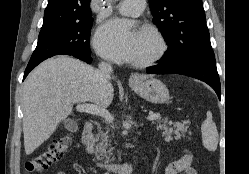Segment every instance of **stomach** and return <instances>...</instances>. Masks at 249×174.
I'll return each instance as SVG.
<instances>
[{
	"instance_id": "1",
	"label": "stomach",
	"mask_w": 249,
	"mask_h": 174,
	"mask_svg": "<svg viewBox=\"0 0 249 174\" xmlns=\"http://www.w3.org/2000/svg\"><path fill=\"white\" fill-rule=\"evenodd\" d=\"M131 88L141 97L155 104H162L169 100V91L160 80L148 76H138L130 81Z\"/></svg>"
}]
</instances>
